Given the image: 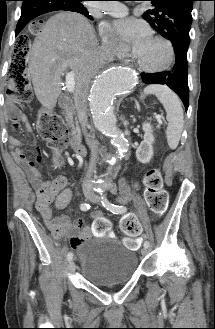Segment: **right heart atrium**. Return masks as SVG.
I'll use <instances>...</instances> for the list:
<instances>
[{"label":"right heart atrium","mask_w":215,"mask_h":329,"mask_svg":"<svg viewBox=\"0 0 215 329\" xmlns=\"http://www.w3.org/2000/svg\"><path fill=\"white\" fill-rule=\"evenodd\" d=\"M100 35L102 37V40L110 47H113L116 49V52L118 55H122L123 52L121 50V47L119 43L117 42L113 31L111 27L108 24H102L100 26Z\"/></svg>","instance_id":"1"}]
</instances>
